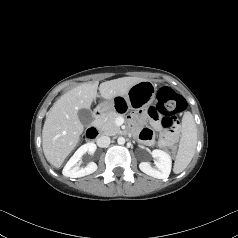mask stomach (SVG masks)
Here are the masks:
<instances>
[{"label":"stomach","mask_w":238,"mask_h":238,"mask_svg":"<svg viewBox=\"0 0 238 238\" xmlns=\"http://www.w3.org/2000/svg\"><path fill=\"white\" fill-rule=\"evenodd\" d=\"M155 94V84L144 80L133 85L126 95L121 94L112 100L99 104L96 112L101 116H105L112 111L121 115L129 114L133 109L141 110L151 105Z\"/></svg>","instance_id":"obj_1"}]
</instances>
